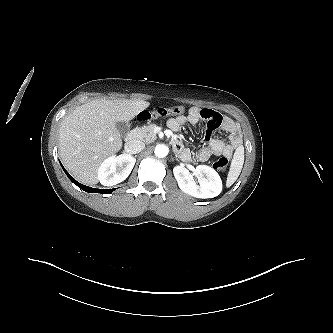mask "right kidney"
Segmentation results:
<instances>
[{
    "label": "right kidney",
    "mask_w": 333,
    "mask_h": 333,
    "mask_svg": "<svg viewBox=\"0 0 333 333\" xmlns=\"http://www.w3.org/2000/svg\"><path fill=\"white\" fill-rule=\"evenodd\" d=\"M136 159L128 154L105 159L98 170V179L104 186H113L124 181L131 173Z\"/></svg>",
    "instance_id": "1"
}]
</instances>
